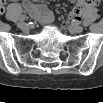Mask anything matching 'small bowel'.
Returning <instances> with one entry per match:
<instances>
[{
    "label": "small bowel",
    "instance_id": "small-bowel-1",
    "mask_svg": "<svg viewBox=\"0 0 103 103\" xmlns=\"http://www.w3.org/2000/svg\"><path fill=\"white\" fill-rule=\"evenodd\" d=\"M5 2L0 3V10H4ZM24 10L33 18L39 20L43 24H49L53 21V13L42 3L24 0L22 2Z\"/></svg>",
    "mask_w": 103,
    "mask_h": 103
}]
</instances>
